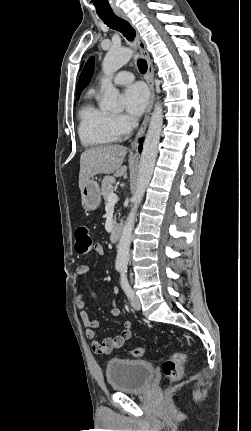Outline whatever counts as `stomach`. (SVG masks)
Wrapping results in <instances>:
<instances>
[{
  "instance_id": "0dacf381",
  "label": "stomach",
  "mask_w": 251,
  "mask_h": 431,
  "mask_svg": "<svg viewBox=\"0 0 251 431\" xmlns=\"http://www.w3.org/2000/svg\"><path fill=\"white\" fill-rule=\"evenodd\" d=\"M82 205L87 210H95L101 203V191L98 183L90 179L81 189Z\"/></svg>"
}]
</instances>
